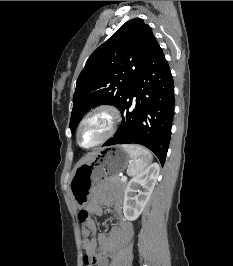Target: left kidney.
Segmentation results:
<instances>
[{
  "label": "left kidney",
  "mask_w": 233,
  "mask_h": 266,
  "mask_svg": "<svg viewBox=\"0 0 233 266\" xmlns=\"http://www.w3.org/2000/svg\"><path fill=\"white\" fill-rule=\"evenodd\" d=\"M159 170V165L153 163L129 181L125 189L123 205V213L127 220L133 221L142 213L157 182ZM136 192L138 195H135Z\"/></svg>",
  "instance_id": "obj_1"
}]
</instances>
